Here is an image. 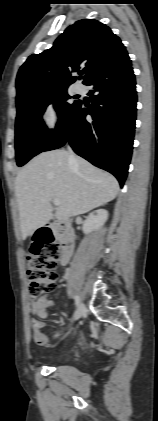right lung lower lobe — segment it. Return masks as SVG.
<instances>
[{
	"label": "right lung lower lobe",
	"instance_id": "1",
	"mask_svg": "<svg viewBox=\"0 0 158 421\" xmlns=\"http://www.w3.org/2000/svg\"><path fill=\"white\" fill-rule=\"evenodd\" d=\"M85 85L93 86L92 104L84 107L80 101L43 151L69 142L78 155L112 173L122 187L132 154L137 102L135 77L127 52L111 60ZM88 114L92 116L91 121L85 118Z\"/></svg>",
	"mask_w": 158,
	"mask_h": 421
}]
</instances>
